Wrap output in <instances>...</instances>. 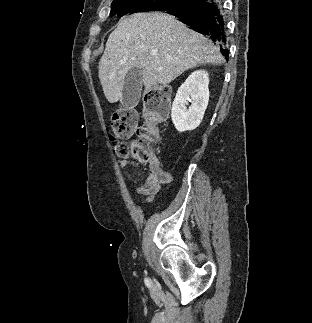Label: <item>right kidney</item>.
<instances>
[{
    "mask_svg": "<svg viewBox=\"0 0 312 323\" xmlns=\"http://www.w3.org/2000/svg\"><path fill=\"white\" fill-rule=\"evenodd\" d=\"M209 78L206 70H196L177 90L171 110L172 122L178 132L195 130L209 102ZM189 102L191 106L187 108Z\"/></svg>",
    "mask_w": 312,
    "mask_h": 323,
    "instance_id": "obj_1",
    "label": "right kidney"
}]
</instances>
